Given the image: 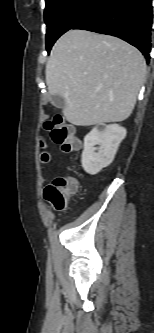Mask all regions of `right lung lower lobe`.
Listing matches in <instances>:
<instances>
[{"instance_id": "98d812e1", "label": "right lung lower lobe", "mask_w": 154, "mask_h": 333, "mask_svg": "<svg viewBox=\"0 0 154 333\" xmlns=\"http://www.w3.org/2000/svg\"><path fill=\"white\" fill-rule=\"evenodd\" d=\"M152 0H99L71 29L116 36L150 60Z\"/></svg>"}]
</instances>
